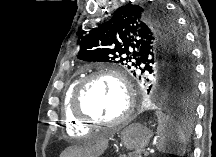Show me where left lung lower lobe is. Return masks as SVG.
Masks as SVG:
<instances>
[{
  "label": "left lung lower lobe",
  "instance_id": "left-lung-lower-lobe-1",
  "mask_svg": "<svg viewBox=\"0 0 216 157\" xmlns=\"http://www.w3.org/2000/svg\"><path fill=\"white\" fill-rule=\"evenodd\" d=\"M195 73V71H194ZM184 96H180L178 95V93H168V95L170 97H173L175 100H176V103L180 104V108L181 110H178V115H179V124L181 125L182 129L185 131V133L189 132L190 130V124H191V118H192V115H191V107L189 106V101L191 99L194 98L195 100V97H196V93H197V88L195 87L193 90L191 89L190 86H187L185 89H184ZM188 101V102H187ZM182 113V114H179V113Z\"/></svg>",
  "mask_w": 216,
  "mask_h": 157
}]
</instances>
